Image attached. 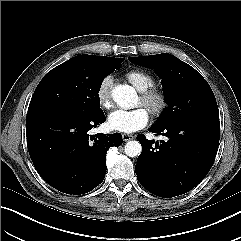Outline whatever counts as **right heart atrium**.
<instances>
[{
    "instance_id": "d8ad5b80",
    "label": "right heart atrium",
    "mask_w": 241,
    "mask_h": 241,
    "mask_svg": "<svg viewBox=\"0 0 241 241\" xmlns=\"http://www.w3.org/2000/svg\"><path fill=\"white\" fill-rule=\"evenodd\" d=\"M111 87L112 78L110 76L104 77L97 87L96 97L103 109H110L112 107Z\"/></svg>"
}]
</instances>
